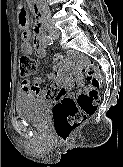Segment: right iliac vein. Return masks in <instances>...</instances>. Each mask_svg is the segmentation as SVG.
I'll list each match as a JSON object with an SVG mask.
<instances>
[{"mask_svg":"<svg viewBox=\"0 0 123 167\" xmlns=\"http://www.w3.org/2000/svg\"><path fill=\"white\" fill-rule=\"evenodd\" d=\"M50 34H51L53 37L58 36V32H57L56 30H51V31H50Z\"/></svg>","mask_w":123,"mask_h":167,"instance_id":"obj_1","label":"right iliac vein"}]
</instances>
